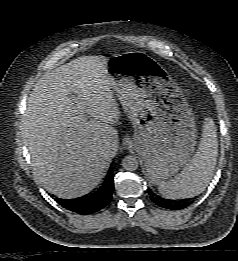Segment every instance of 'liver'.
I'll return each instance as SVG.
<instances>
[{"mask_svg": "<svg viewBox=\"0 0 238 261\" xmlns=\"http://www.w3.org/2000/svg\"><path fill=\"white\" fill-rule=\"evenodd\" d=\"M108 60L82 56L57 67L38 80L28 99L22 136L33 174L59 198L93 190L116 155L119 136L114 125L120 111L111 91Z\"/></svg>", "mask_w": 238, "mask_h": 261, "instance_id": "1", "label": "liver"}]
</instances>
